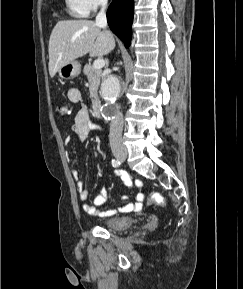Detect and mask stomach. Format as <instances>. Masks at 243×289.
Here are the masks:
<instances>
[{
	"mask_svg": "<svg viewBox=\"0 0 243 289\" xmlns=\"http://www.w3.org/2000/svg\"><path fill=\"white\" fill-rule=\"evenodd\" d=\"M81 72V65L78 61H71L58 70V74L63 79L77 77Z\"/></svg>",
	"mask_w": 243,
	"mask_h": 289,
	"instance_id": "obj_1",
	"label": "stomach"
}]
</instances>
